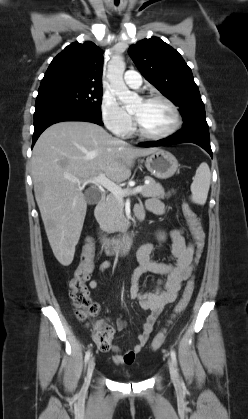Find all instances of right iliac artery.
Instances as JSON below:
<instances>
[{"mask_svg": "<svg viewBox=\"0 0 248 419\" xmlns=\"http://www.w3.org/2000/svg\"><path fill=\"white\" fill-rule=\"evenodd\" d=\"M90 356H91V352L90 351H87L86 354H85V363L88 362Z\"/></svg>", "mask_w": 248, "mask_h": 419, "instance_id": "right-iliac-artery-1", "label": "right iliac artery"}]
</instances>
